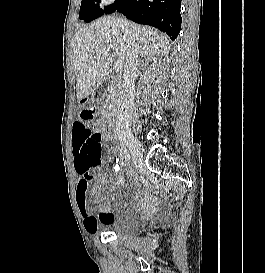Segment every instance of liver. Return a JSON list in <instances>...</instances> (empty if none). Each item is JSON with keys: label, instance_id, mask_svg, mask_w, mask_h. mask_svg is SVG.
<instances>
[{"label": "liver", "instance_id": "6515ba94", "mask_svg": "<svg viewBox=\"0 0 265 273\" xmlns=\"http://www.w3.org/2000/svg\"><path fill=\"white\" fill-rule=\"evenodd\" d=\"M129 25L141 57L148 61L155 54L167 56L170 49L167 35L151 27ZM71 49L78 100L92 95L103 84L114 58L123 61L124 67L128 60L127 43L113 16L101 17L80 28L72 39Z\"/></svg>", "mask_w": 265, "mask_h": 273}]
</instances>
